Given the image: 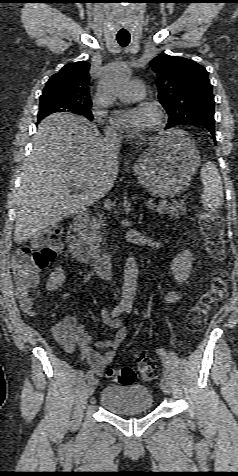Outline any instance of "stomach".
I'll return each mask as SVG.
<instances>
[{"label":"stomach","instance_id":"obj_1","mask_svg":"<svg viewBox=\"0 0 238 476\" xmlns=\"http://www.w3.org/2000/svg\"><path fill=\"white\" fill-rule=\"evenodd\" d=\"M199 162V153L187 134L170 130L151 140L133 169L153 195L166 198L179 194L188 185Z\"/></svg>","mask_w":238,"mask_h":476}]
</instances>
